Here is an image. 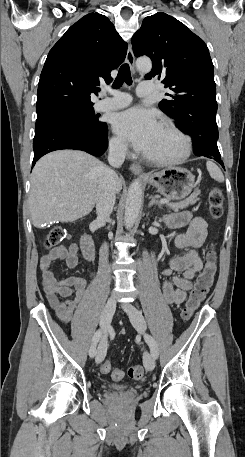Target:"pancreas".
<instances>
[{"mask_svg": "<svg viewBox=\"0 0 245 457\" xmlns=\"http://www.w3.org/2000/svg\"><path fill=\"white\" fill-rule=\"evenodd\" d=\"M198 194H200L199 188H196L188 198H185V200H180V202H162V204H167L169 208H172V210H179V208H186L188 204H195L198 198Z\"/></svg>", "mask_w": 245, "mask_h": 457, "instance_id": "1", "label": "pancreas"}]
</instances>
